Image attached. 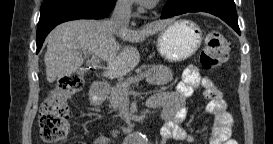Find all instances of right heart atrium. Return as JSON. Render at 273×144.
Instances as JSON below:
<instances>
[{"label":"right heart atrium","mask_w":273,"mask_h":144,"mask_svg":"<svg viewBox=\"0 0 273 144\" xmlns=\"http://www.w3.org/2000/svg\"><path fill=\"white\" fill-rule=\"evenodd\" d=\"M117 5L120 6L122 9H129L131 6L130 0H118Z\"/></svg>","instance_id":"d8ad5b80"}]
</instances>
